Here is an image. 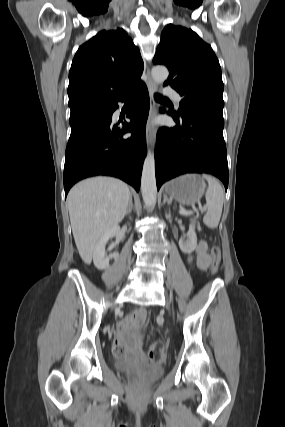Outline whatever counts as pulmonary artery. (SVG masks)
Here are the masks:
<instances>
[{"label": "pulmonary artery", "mask_w": 285, "mask_h": 427, "mask_svg": "<svg viewBox=\"0 0 285 427\" xmlns=\"http://www.w3.org/2000/svg\"><path fill=\"white\" fill-rule=\"evenodd\" d=\"M163 93L165 96L172 98L177 105H180L182 98L174 88L171 86H166L163 90Z\"/></svg>", "instance_id": "obj_1"}]
</instances>
